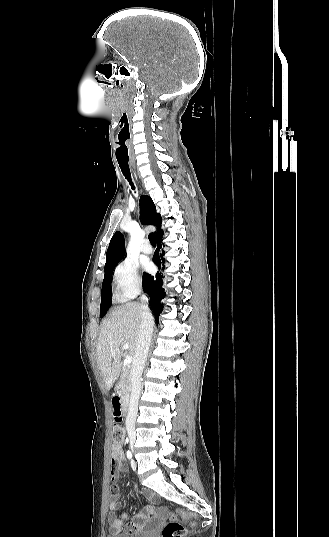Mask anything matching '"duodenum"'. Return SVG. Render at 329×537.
I'll return each instance as SVG.
<instances>
[{"mask_svg":"<svg viewBox=\"0 0 329 537\" xmlns=\"http://www.w3.org/2000/svg\"><path fill=\"white\" fill-rule=\"evenodd\" d=\"M116 405L117 407H120L122 409L121 413H122V417H124L127 414V410H128L127 401L116 398Z\"/></svg>","mask_w":329,"mask_h":537,"instance_id":"1","label":"duodenum"}]
</instances>
